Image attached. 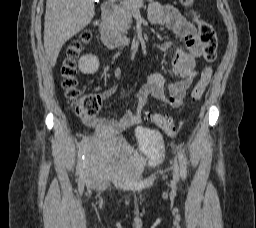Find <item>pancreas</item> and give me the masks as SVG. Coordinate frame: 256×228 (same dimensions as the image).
Listing matches in <instances>:
<instances>
[{
    "label": "pancreas",
    "instance_id": "cf45deb5",
    "mask_svg": "<svg viewBox=\"0 0 256 228\" xmlns=\"http://www.w3.org/2000/svg\"><path fill=\"white\" fill-rule=\"evenodd\" d=\"M143 0H141L142 2ZM139 6L136 0H124L112 17V28L119 33L126 34L130 28L134 10Z\"/></svg>",
    "mask_w": 256,
    "mask_h": 228
}]
</instances>
